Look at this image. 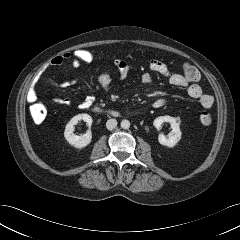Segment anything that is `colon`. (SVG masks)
<instances>
[{"instance_id":"1","label":"colon","mask_w":240,"mask_h":240,"mask_svg":"<svg viewBox=\"0 0 240 240\" xmlns=\"http://www.w3.org/2000/svg\"><path fill=\"white\" fill-rule=\"evenodd\" d=\"M67 54L69 62L74 67H78L82 64H89L98 59L97 54L86 48H79ZM183 72L186 79L190 82L197 81L200 77L198 70L190 64L184 65ZM29 110L33 120L38 123L42 122L47 114L45 106L39 102H32ZM199 120L202 125H210L213 117L209 111L205 110L200 113Z\"/></svg>"}]
</instances>
